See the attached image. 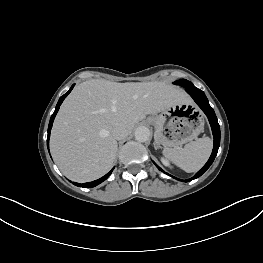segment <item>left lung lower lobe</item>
Instances as JSON below:
<instances>
[{
  "label": "left lung lower lobe",
  "instance_id": "1",
  "mask_svg": "<svg viewBox=\"0 0 263 263\" xmlns=\"http://www.w3.org/2000/svg\"><path fill=\"white\" fill-rule=\"evenodd\" d=\"M185 90L194 99V101L203 110V112L207 115L208 120H209L210 125H211V128H212L213 137H214V147H213V151H212V154H211L209 160L203 166V168L195 174L194 177L185 180V182H188V181H191V180H194V179L200 177L213 163V161L217 155L219 145H220V127H219L215 112H214L213 108L209 105L208 99L205 96L204 92L201 91L200 89L196 88L195 86L186 87ZM153 163L156 165V167L160 171L164 172L155 162H153Z\"/></svg>",
  "mask_w": 263,
  "mask_h": 263
}]
</instances>
